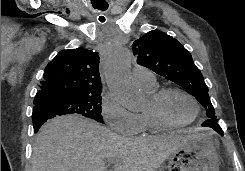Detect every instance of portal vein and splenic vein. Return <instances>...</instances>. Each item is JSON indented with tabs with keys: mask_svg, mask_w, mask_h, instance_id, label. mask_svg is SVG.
Here are the masks:
<instances>
[{
	"mask_svg": "<svg viewBox=\"0 0 245 171\" xmlns=\"http://www.w3.org/2000/svg\"><path fill=\"white\" fill-rule=\"evenodd\" d=\"M117 163V159H110L108 160V164L112 165V164H116Z\"/></svg>",
	"mask_w": 245,
	"mask_h": 171,
	"instance_id": "obj_1",
	"label": "portal vein and splenic vein"
}]
</instances>
